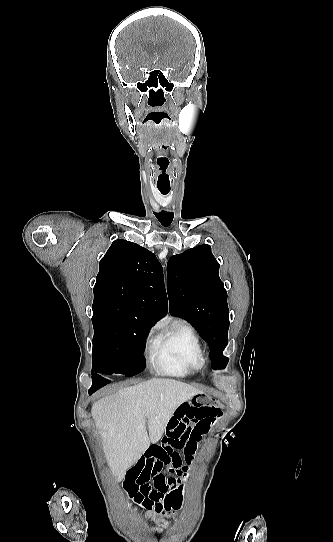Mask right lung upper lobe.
<instances>
[{"label": "right lung upper lobe", "instance_id": "obj_1", "mask_svg": "<svg viewBox=\"0 0 333 542\" xmlns=\"http://www.w3.org/2000/svg\"><path fill=\"white\" fill-rule=\"evenodd\" d=\"M93 309H111L147 318L153 325L167 314L163 269L156 256L118 239L100 260Z\"/></svg>", "mask_w": 333, "mask_h": 542}]
</instances>
